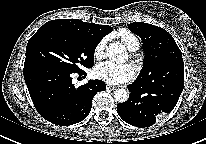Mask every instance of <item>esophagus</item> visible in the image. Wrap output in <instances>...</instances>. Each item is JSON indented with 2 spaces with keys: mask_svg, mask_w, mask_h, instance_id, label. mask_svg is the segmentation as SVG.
I'll list each match as a JSON object with an SVG mask.
<instances>
[{
  "mask_svg": "<svg viewBox=\"0 0 206 144\" xmlns=\"http://www.w3.org/2000/svg\"><path fill=\"white\" fill-rule=\"evenodd\" d=\"M107 89H109V90H115L116 87H115V86H112V85H107Z\"/></svg>",
  "mask_w": 206,
  "mask_h": 144,
  "instance_id": "esophagus-1",
  "label": "esophagus"
}]
</instances>
